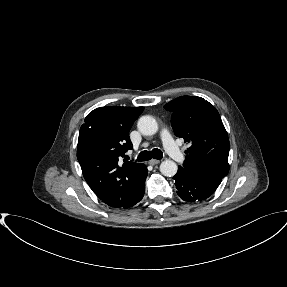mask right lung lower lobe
I'll return each instance as SVG.
<instances>
[{
  "mask_svg": "<svg viewBox=\"0 0 287 287\" xmlns=\"http://www.w3.org/2000/svg\"><path fill=\"white\" fill-rule=\"evenodd\" d=\"M147 173H148L147 167L145 165H143L141 178L138 180L135 187L132 189V191L129 193V195L127 196V198L125 200L114 205L113 207L125 209V208L132 207L136 203H138L144 195L145 180L147 177Z\"/></svg>",
  "mask_w": 287,
  "mask_h": 287,
  "instance_id": "1",
  "label": "right lung lower lobe"
}]
</instances>
